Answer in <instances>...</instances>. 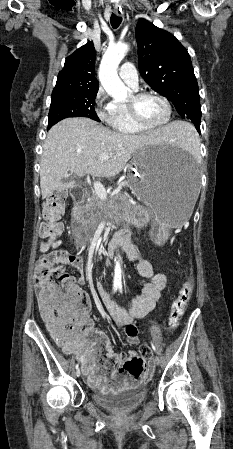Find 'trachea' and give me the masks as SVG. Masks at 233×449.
<instances>
[{
  "mask_svg": "<svg viewBox=\"0 0 233 449\" xmlns=\"http://www.w3.org/2000/svg\"><path fill=\"white\" fill-rule=\"evenodd\" d=\"M121 22H122V18L121 17H119V16H117L115 14L111 15V25H112V27L114 29L118 28L119 25L121 24Z\"/></svg>",
  "mask_w": 233,
  "mask_h": 449,
  "instance_id": "trachea-1",
  "label": "trachea"
}]
</instances>
